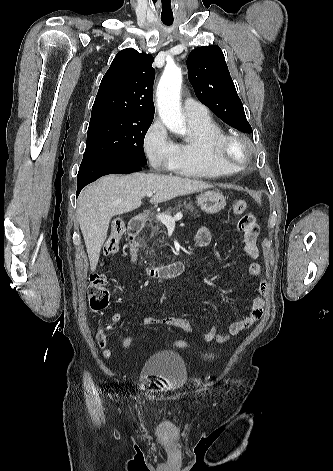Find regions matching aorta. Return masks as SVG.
Masks as SVG:
<instances>
[{
    "label": "aorta",
    "instance_id": "762f6f07",
    "mask_svg": "<svg viewBox=\"0 0 333 471\" xmlns=\"http://www.w3.org/2000/svg\"><path fill=\"white\" fill-rule=\"evenodd\" d=\"M182 72L167 65L157 87V106L163 124L173 133L184 136L186 125L180 107Z\"/></svg>",
    "mask_w": 333,
    "mask_h": 471
}]
</instances>
